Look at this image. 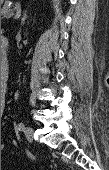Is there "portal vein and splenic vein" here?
Masks as SVG:
<instances>
[{
	"mask_svg": "<svg viewBox=\"0 0 109 170\" xmlns=\"http://www.w3.org/2000/svg\"><path fill=\"white\" fill-rule=\"evenodd\" d=\"M12 17V13H10L8 16H7V18H11Z\"/></svg>",
	"mask_w": 109,
	"mask_h": 170,
	"instance_id": "obj_1",
	"label": "portal vein and splenic vein"
}]
</instances>
